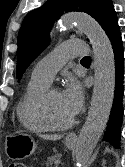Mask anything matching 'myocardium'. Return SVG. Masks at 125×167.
<instances>
[{
    "label": "myocardium",
    "instance_id": "1",
    "mask_svg": "<svg viewBox=\"0 0 125 167\" xmlns=\"http://www.w3.org/2000/svg\"><path fill=\"white\" fill-rule=\"evenodd\" d=\"M54 91H58V90L56 88H48L40 99L39 106H38V113H39L40 120L49 130H52V131H62V130L69 129L75 123L74 116L70 120L64 123H56L50 115L49 98Z\"/></svg>",
    "mask_w": 125,
    "mask_h": 167
}]
</instances>
